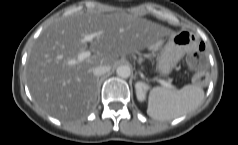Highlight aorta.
<instances>
[{"label": "aorta", "mask_w": 238, "mask_h": 145, "mask_svg": "<svg viewBox=\"0 0 238 145\" xmlns=\"http://www.w3.org/2000/svg\"><path fill=\"white\" fill-rule=\"evenodd\" d=\"M116 73L121 78H128L131 74V69L128 65H121L117 67Z\"/></svg>", "instance_id": "aorta-1"}]
</instances>
